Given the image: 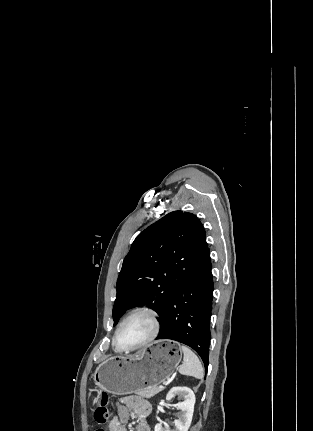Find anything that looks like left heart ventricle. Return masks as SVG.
<instances>
[{
    "instance_id": "1",
    "label": "left heart ventricle",
    "mask_w": 313,
    "mask_h": 431,
    "mask_svg": "<svg viewBox=\"0 0 313 431\" xmlns=\"http://www.w3.org/2000/svg\"><path fill=\"white\" fill-rule=\"evenodd\" d=\"M153 325L146 315H136L127 321L118 335L122 348L134 347L145 341L151 334Z\"/></svg>"
}]
</instances>
